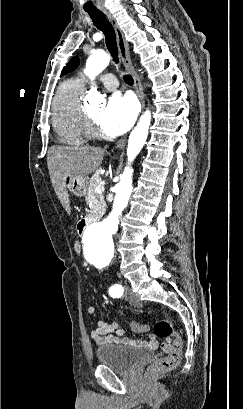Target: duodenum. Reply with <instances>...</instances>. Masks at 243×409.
I'll use <instances>...</instances> for the list:
<instances>
[{
    "mask_svg": "<svg viewBox=\"0 0 243 409\" xmlns=\"http://www.w3.org/2000/svg\"><path fill=\"white\" fill-rule=\"evenodd\" d=\"M90 224V220L89 219H83L79 222L78 224V230L79 232H83L85 230V228Z\"/></svg>",
    "mask_w": 243,
    "mask_h": 409,
    "instance_id": "obj_1",
    "label": "duodenum"
}]
</instances>
